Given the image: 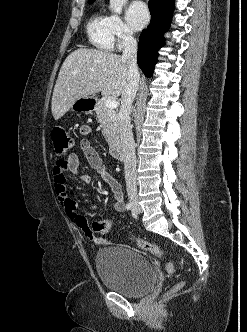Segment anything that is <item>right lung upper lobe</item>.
Returning <instances> with one entry per match:
<instances>
[{
    "mask_svg": "<svg viewBox=\"0 0 247 332\" xmlns=\"http://www.w3.org/2000/svg\"><path fill=\"white\" fill-rule=\"evenodd\" d=\"M95 0H88V2L91 4V3H93Z\"/></svg>",
    "mask_w": 247,
    "mask_h": 332,
    "instance_id": "1",
    "label": "right lung upper lobe"
}]
</instances>
